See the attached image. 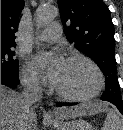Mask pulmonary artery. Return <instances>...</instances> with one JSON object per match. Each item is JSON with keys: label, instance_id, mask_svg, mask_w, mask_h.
<instances>
[{"label": "pulmonary artery", "instance_id": "obj_1", "mask_svg": "<svg viewBox=\"0 0 123 130\" xmlns=\"http://www.w3.org/2000/svg\"><path fill=\"white\" fill-rule=\"evenodd\" d=\"M61 36V28L58 24H52L42 30L38 35V40L42 42L52 43L57 41Z\"/></svg>", "mask_w": 123, "mask_h": 130}]
</instances>
